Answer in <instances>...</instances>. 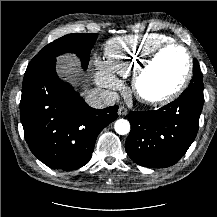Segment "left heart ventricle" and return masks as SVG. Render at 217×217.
I'll use <instances>...</instances> for the list:
<instances>
[{
  "label": "left heart ventricle",
  "instance_id": "left-heart-ventricle-1",
  "mask_svg": "<svg viewBox=\"0 0 217 217\" xmlns=\"http://www.w3.org/2000/svg\"><path fill=\"white\" fill-rule=\"evenodd\" d=\"M187 58L181 49L163 52L143 77L140 90L148 97H158L174 90L187 71Z\"/></svg>",
  "mask_w": 217,
  "mask_h": 217
}]
</instances>
